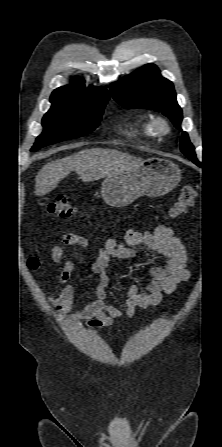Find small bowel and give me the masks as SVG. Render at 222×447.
<instances>
[{
  "label": "small bowel",
  "mask_w": 222,
  "mask_h": 447,
  "mask_svg": "<svg viewBox=\"0 0 222 447\" xmlns=\"http://www.w3.org/2000/svg\"><path fill=\"white\" fill-rule=\"evenodd\" d=\"M125 242L121 243L111 238L106 240L104 246L99 249L91 265L92 272L99 277L98 281L92 285L95 300L77 311H72L76 287L71 280V271L75 262L64 258L62 245L52 247V260L62 265L59 282L67 283L57 298L50 299L60 317L84 321L89 328L108 327L113 325L118 317H134L137 308L147 309L159 305L165 294L175 292L179 284L189 279L190 272L187 268L190 261L189 255L169 225L160 224L153 231L131 229L126 233ZM62 243L79 247L89 245L85 236L74 233L66 234ZM140 247L146 248L150 254L162 256L165 264L150 268L151 282L147 285L146 292H142L136 285L129 288L124 309L107 304L105 301V286L108 281L106 270L110 262L131 259L137 255Z\"/></svg>",
  "instance_id": "small-bowel-1"
}]
</instances>
